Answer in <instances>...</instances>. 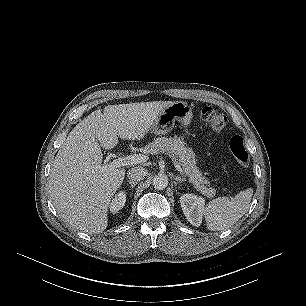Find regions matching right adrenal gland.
I'll return each instance as SVG.
<instances>
[{"mask_svg": "<svg viewBox=\"0 0 306 306\" xmlns=\"http://www.w3.org/2000/svg\"><path fill=\"white\" fill-rule=\"evenodd\" d=\"M127 182H128V184H130V186L132 188H134L136 186V184H137L136 182H133V181H130V180H128Z\"/></svg>", "mask_w": 306, "mask_h": 306, "instance_id": "2a0ac1e0", "label": "right adrenal gland"}]
</instances>
